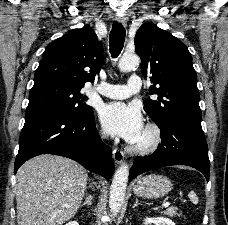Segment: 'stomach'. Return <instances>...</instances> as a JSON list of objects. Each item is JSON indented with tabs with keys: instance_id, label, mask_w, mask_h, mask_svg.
<instances>
[{
	"instance_id": "1",
	"label": "stomach",
	"mask_w": 228,
	"mask_h": 225,
	"mask_svg": "<svg viewBox=\"0 0 228 225\" xmlns=\"http://www.w3.org/2000/svg\"><path fill=\"white\" fill-rule=\"evenodd\" d=\"M172 181L162 175H146L137 179L133 191L136 197L142 199H161L172 191Z\"/></svg>"
}]
</instances>
